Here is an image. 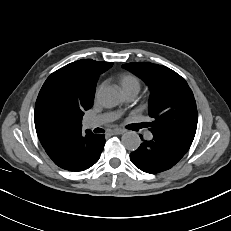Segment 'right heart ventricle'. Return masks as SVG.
<instances>
[{"label": "right heart ventricle", "mask_w": 231, "mask_h": 231, "mask_svg": "<svg viewBox=\"0 0 231 231\" xmlns=\"http://www.w3.org/2000/svg\"><path fill=\"white\" fill-rule=\"evenodd\" d=\"M119 84L123 93H138L141 88V81L140 79L131 73L123 74L119 78Z\"/></svg>", "instance_id": "obj_1"}]
</instances>
